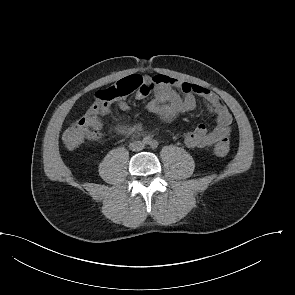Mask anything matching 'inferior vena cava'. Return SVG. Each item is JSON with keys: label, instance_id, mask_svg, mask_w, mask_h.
I'll return each mask as SVG.
<instances>
[{"label": "inferior vena cava", "instance_id": "obj_1", "mask_svg": "<svg viewBox=\"0 0 295 295\" xmlns=\"http://www.w3.org/2000/svg\"><path fill=\"white\" fill-rule=\"evenodd\" d=\"M144 148V144L141 141H134L130 143V149L132 151H141Z\"/></svg>", "mask_w": 295, "mask_h": 295}]
</instances>
